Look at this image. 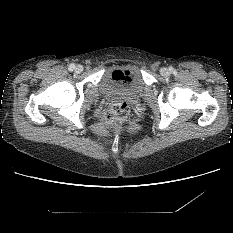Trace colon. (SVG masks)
Here are the masks:
<instances>
[{"label": "colon", "instance_id": "1", "mask_svg": "<svg viewBox=\"0 0 233 233\" xmlns=\"http://www.w3.org/2000/svg\"><path fill=\"white\" fill-rule=\"evenodd\" d=\"M119 77L127 78L124 72L118 73ZM130 114V106L126 101L117 100L102 107V124L108 130H114Z\"/></svg>", "mask_w": 233, "mask_h": 233}]
</instances>
